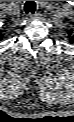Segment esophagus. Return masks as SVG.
<instances>
[{
    "mask_svg": "<svg viewBox=\"0 0 74 122\" xmlns=\"http://www.w3.org/2000/svg\"><path fill=\"white\" fill-rule=\"evenodd\" d=\"M40 18V14L39 13H35V14H30L29 15V19L30 20H38Z\"/></svg>",
    "mask_w": 74,
    "mask_h": 122,
    "instance_id": "1",
    "label": "esophagus"
}]
</instances>
